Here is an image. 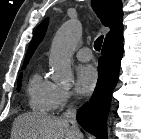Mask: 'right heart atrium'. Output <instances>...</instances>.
Returning a JSON list of instances; mask_svg holds the SVG:
<instances>
[{
	"label": "right heart atrium",
	"instance_id": "right-heart-atrium-1",
	"mask_svg": "<svg viewBox=\"0 0 141 139\" xmlns=\"http://www.w3.org/2000/svg\"><path fill=\"white\" fill-rule=\"evenodd\" d=\"M73 99V93L69 89L57 86L54 95L53 110L63 109L70 105L73 102Z\"/></svg>",
	"mask_w": 141,
	"mask_h": 139
}]
</instances>
